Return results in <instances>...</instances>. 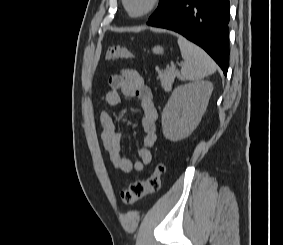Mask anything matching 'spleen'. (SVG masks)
<instances>
[{"mask_svg": "<svg viewBox=\"0 0 283 245\" xmlns=\"http://www.w3.org/2000/svg\"><path fill=\"white\" fill-rule=\"evenodd\" d=\"M178 45L184 59L180 75L182 80L198 81L216 71L215 62L203 49L182 36L178 37Z\"/></svg>", "mask_w": 283, "mask_h": 245, "instance_id": "1", "label": "spleen"}]
</instances>
